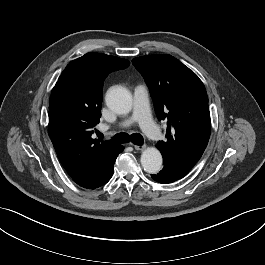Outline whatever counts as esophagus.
<instances>
[{
  "instance_id": "34e87169",
  "label": "esophagus",
  "mask_w": 265,
  "mask_h": 265,
  "mask_svg": "<svg viewBox=\"0 0 265 265\" xmlns=\"http://www.w3.org/2000/svg\"><path fill=\"white\" fill-rule=\"evenodd\" d=\"M134 148L137 151H141V150H144L146 148V144H143V145H134Z\"/></svg>"
}]
</instances>
